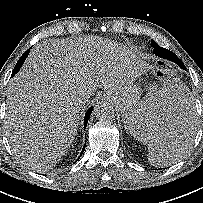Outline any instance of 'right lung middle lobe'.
<instances>
[{
  "label": "right lung middle lobe",
  "instance_id": "dd1d6c3e",
  "mask_svg": "<svg viewBox=\"0 0 203 203\" xmlns=\"http://www.w3.org/2000/svg\"><path fill=\"white\" fill-rule=\"evenodd\" d=\"M16 73H17V71H15V68H14L12 76L15 75Z\"/></svg>",
  "mask_w": 203,
  "mask_h": 203
}]
</instances>
